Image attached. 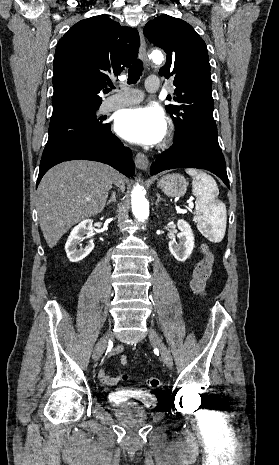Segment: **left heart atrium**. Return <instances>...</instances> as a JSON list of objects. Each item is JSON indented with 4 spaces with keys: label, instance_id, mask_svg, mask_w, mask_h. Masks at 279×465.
I'll use <instances>...</instances> for the list:
<instances>
[{
    "label": "left heart atrium",
    "instance_id": "left-heart-atrium-1",
    "mask_svg": "<svg viewBox=\"0 0 279 465\" xmlns=\"http://www.w3.org/2000/svg\"><path fill=\"white\" fill-rule=\"evenodd\" d=\"M115 130L130 142L155 145L164 138L167 122L163 111L157 107H135L119 113Z\"/></svg>",
    "mask_w": 279,
    "mask_h": 465
}]
</instances>
